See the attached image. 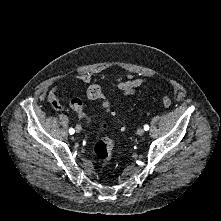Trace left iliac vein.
<instances>
[{
	"label": "left iliac vein",
	"mask_w": 221,
	"mask_h": 221,
	"mask_svg": "<svg viewBox=\"0 0 221 221\" xmlns=\"http://www.w3.org/2000/svg\"><path fill=\"white\" fill-rule=\"evenodd\" d=\"M144 129L143 128H139L137 129V135L142 136L144 134Z\"/></svg>",
	"instance_id": "left-iliac-vein-1"
}]
</instances>
